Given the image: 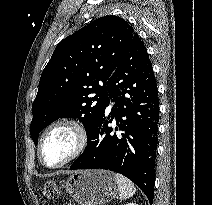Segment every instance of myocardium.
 <instances>
[{
  "mask_svg": "<svg viewBox=\"0 0 212 205\" xmlns=\"http://www.w3.org/2000/svg\"><path fill=\"white\" fill-rule=\"evenodd\" d=\"M64 128L68 129L72 132L74 136V147L71 153L62 161L56 163V164H48L43 157V146L45 144L46 139L48 136L57 129ZM88 142V134L85 126L77 119L74 118H61L58 120H55L51 124H49L44 131L41 134V137L39 139L38 143V156L41 161V163L49 168H58L62 167L69 162L76 159L85 149Z\"/></svg>",
  "mask_w": 212,
  "mask_h": 205,
  "instance_id": "myocardium-1",
  "label": "myocardium"
}]
</instances>
